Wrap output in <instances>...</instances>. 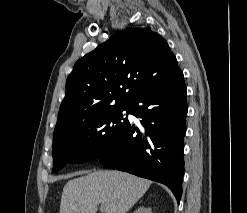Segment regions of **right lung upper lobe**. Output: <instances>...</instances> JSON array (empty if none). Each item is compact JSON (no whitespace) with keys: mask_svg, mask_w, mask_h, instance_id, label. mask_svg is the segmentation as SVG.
Listing matches in <instances>:
<instances>
[{"mask_svg":"<svg viewBox=\"0 0 247 213\" xmlns=\"http://www.w3.org/2000/svg\"><path fill=\"white\" fill-rule=\"evenodd\" d=\"M168 43L150 27L127 28L79 59L66 81L58 136L130 100L177 68Z\"/></svg>","mask_w":247,"mask_h":213,"instance_id":"obj_1","label":"right lung upper lobe"}]
</instances>
